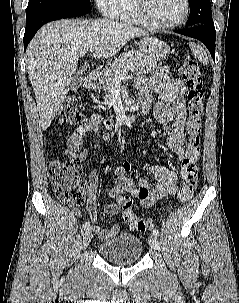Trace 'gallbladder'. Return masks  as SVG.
<instances>
[{
    "label": "gallbladder",
    "mask_w": 239,
    "mask_h": 303,
    "mask_svg": "<svg viewBox=\"0 0 239 303\" xmlns=\"http://www.w3.org/2000/svg\"><path fill=\"white\" fill-rule=\"evenodd\" d=\"M83 78V71H77L70 81V89L76 90L79 88L82 85Z\"/></svg>",
    "instance_id": "1"
}]
</instances>
